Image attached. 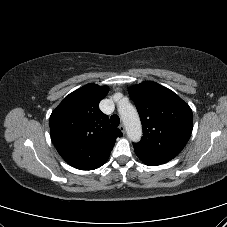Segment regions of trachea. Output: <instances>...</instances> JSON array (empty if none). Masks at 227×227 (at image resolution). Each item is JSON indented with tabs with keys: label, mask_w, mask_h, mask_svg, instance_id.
<instances>
[{
	"label": "trachea",
	"mask_w": 227,
	"mask_h": 227,
	"mask_svg": "<svg viewBox=\"0 0 227 227\" xmlns=\"http://www.w3.org/2000/svg\"><path fill=\"white\" fill-rule=\"evenodd\" d=\"M110 122H111V124L113 125V126H118L119 124H120V118H119V116L118 115H112L111 117H110Z\"/></svg>",
	"instance_id": "trachea-1"
}]
</instances>
